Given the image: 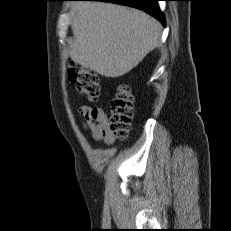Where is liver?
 I'll return each mask as SVG.
<instances>
[{
	"label": "liver",
	"instance_id": "1",
	"mask_svg": "<svg viewBox=\"0 0 231 231\" xmlns=\"http://www.w3.org/2000/svg\"><path fill=\"white\" fill-rule=\"evenodd\" d=\"M75 9L70 56L102 76L130 72L159 44L160 24L145 12L102 2H79Z\"/></svg>",
	"mask_w": 231,
	"mask_h": 231
}]
</instances>
